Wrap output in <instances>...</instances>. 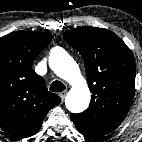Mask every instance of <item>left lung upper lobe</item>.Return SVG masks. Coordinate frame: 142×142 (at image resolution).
Returning <instances> with one entry per match:
<instances>
[{"label": "left lung upper lobe", "mask_w": 142, "mask_h": 142, "mask_svg": "<svg viewBox=\"0 0 142 142\" xmlns=\"http://www.w3.org/2000/svg\"><path fill=\"white\" fill-rule=\"evenodd\" d=\"M84 59L91 102L84 112L71 114L77 130L91 138L116 129L126 117L135 92L136 66L126 44L113 32L81 27L64 33Z\"/></svg>", "instance_id": "5c2ea615"}]
</instances>
